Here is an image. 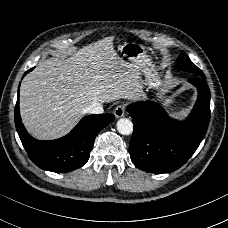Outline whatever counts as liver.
I'll list each match as a JSON object with an SVG mask.
<instances>
[{
	"label": "liver",
	"instance_id": "liver-1",
	"mask_svg": "<svg viewBox=\"0 0 228 228\" xmlns=\"http://www.w3.org/2000/svg\"><path fill=\"white\" fill-rule=\"evenodd\" d=\"M113 40L105 37L66 59L41 61L23 79L20 113L30 134L55 139L70 132L93 103L137 99L139 70L117 55Z\"/></svg>",
	"mask_w": 228,
	"mask_h": 228
}]
</instances>
